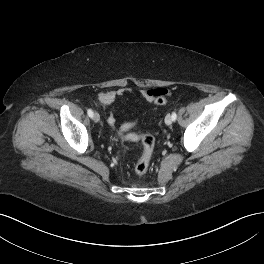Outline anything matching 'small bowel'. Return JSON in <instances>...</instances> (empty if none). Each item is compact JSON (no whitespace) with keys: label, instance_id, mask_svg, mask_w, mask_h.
<instances>
[{"label":"small bowel","instance_id":"obj_1","mask_svg":"<svg viewBox=\"0 0 264 264\" xmlns=\"http://www.w3.org/2000/svg\"><path fill=\"white\" fill-rule=\"evenodd\" d=\"M130 92L131 90L128 88H120L118 90L102 92L97 96V103L102 108H108L112 106L119 97ZM139 95L147 102H154L159 97L169 96L170 90L164 87H157V88L141 90L139 92ZM107 121L110 125L114 124L115 122L114 116L110 114Z\"/></svg>","mask_w":264,"mask_h":264}]
</instances>
